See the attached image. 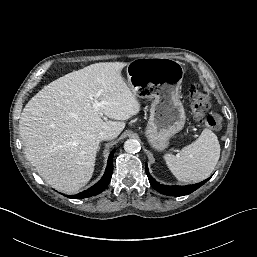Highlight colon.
<instances>
[{
	"instance_id": "obj_1",
	"label": "colon",
	"mask_w": 257,
	"mask_h": 257,
	"mask_svg": "<svg viewBox=\"0 0 257 257\" xmlns=\"http://www.w3.org/2000/svg\"><path fill=\"white\" fill-rule=\"evenodd\" d=\"M190 99L195 116L209 128L218 130L221 127L222 119L219 114L208 112L209 100L199 85L192 83L190 85Z\"/></svg>"
}]
</instances>
